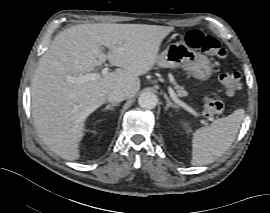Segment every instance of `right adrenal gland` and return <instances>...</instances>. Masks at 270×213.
I'll list each match as a JSON object with an SVG mask.
<instances>
[{"mask_svg": "<svg viewBox=\"0 0 270 213\" xmlns=\"http://www.w3.org/2000/svg\"><path fill=\"white\" fill-rule=\"evenodd\" d=\"M115 106H118V104H109L103 109V111L104 112L107 111V110L113 111Z\"/></svg>", "mask_w": 270, "mask_h": 213, "instance_id": "right-adrenal-gland-1", "label": "right adrenal gland"}]
</instances>
